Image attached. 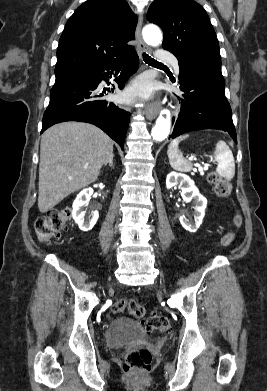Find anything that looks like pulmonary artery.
I'll return each mask as SVG.
<instances>
[{"label": "pulmonary artery", "mask_w": 267, "mask_h": 391, "mask_svg": "<svg viewBox=\"0 0 267 391\" xmlns=\"http://www.w3.org/2000/svg\"><path fill=\"white\" fill-rule=\"evenodd\" d=\"M158 58L160 60L169 62L172 65L175 73L179 74V63H178V60L175 56H173L165 51H159Z\"/></svg>", "instance_id": "obj_1"}]
</instances>
